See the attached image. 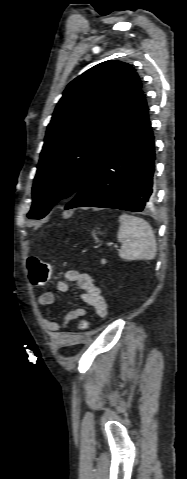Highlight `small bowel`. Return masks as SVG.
I'll use <instances>...</instances> for the list:
<instances>
[{
	"instance_id": "obj_1",
	"label": "small bowel",
	"mask_w": 187,
	"mask_h": 479,
	"mask_svg": "<svg viewBox=\"0 0 187 479\" xmlns=\"http://www.w3.org/2000/svg\"><path fill=\"white\" fill-rule=\"evenodd\" d=\"M69 282L77 285L79 290V297L82 302L92 307L97 315L105 318L108 313V304L105 297L101 294L100 289L93 283L90 275L81 273L77 270L70 269L65 272V280L57 282V290L62 293L71 290ZM56 301V295L53 292H43L38 297V303L43 306L52 305ZM86 311L82 307H76L69 311L62 324L50 320L46 317L42 318L45 328L50 331L56 339L61 338L64 334L63 329L77 319L85 316Z\"/></svg>"
}]
</instances>
